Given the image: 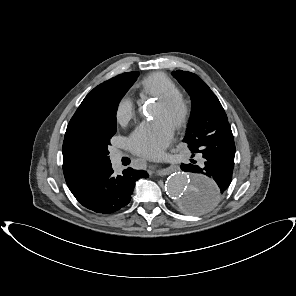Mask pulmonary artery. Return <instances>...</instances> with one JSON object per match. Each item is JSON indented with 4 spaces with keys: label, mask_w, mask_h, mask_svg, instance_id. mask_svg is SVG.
I'll return each instance as SVG.
<instances>
[{
    "label": "pulmonary artery",
    "mask_w": 296,
    "mask_h": 296,
    "mask_svg": "<svg viewBox=\"0 0 296 296\" xmlns=\"http://www.w3.org/2000/svg\"><path fill=\"white\" fill-rule=\"evenodd\" d=\"M120 157H121L120 153H115L114 156H113L114 161L118 162L120 160Z\"/></svg>",
    "instance_id": "e3ab8cb5"
}]
</instances>
